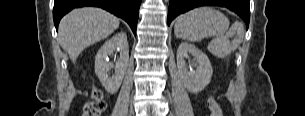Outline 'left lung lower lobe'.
<instances>
[{
	"instance_id": "obj_1",
	"label": "left lung lower lobe",
	"mask_w": 305,
	"mask_h": 116,
	"mask_svg": "<svg viewBox=\"0 0 305 116\" xmlns=\"http://www.w3.org/2000/svg\"><path fill=\"white\" fill-rule=\"evenodd\" d=\"M204 5H217L231 9L245 21L248 28L250 20L249 0H170L168 25L179 14Z\"/></svg>"
}]
</instances>
